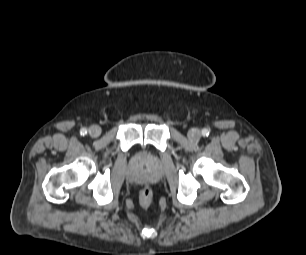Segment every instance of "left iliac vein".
<instances>
[{
  "label": "left iliac vein",
  "mask_w": 306,
  "mask_h": 255,
  "mask_svg": "<svg viewBox=\"0 0 306 255\" xmlns=\"http://www.w3.org/2000/svg\"><path fill=\"white\" fill-rule=\"evenodd\" d=\"M188 137L190 140H199L201 138V132L198 129H191L188 131Z\"/></svg>",
  "instance_id": "4c4485c4"
}]
</instances>
